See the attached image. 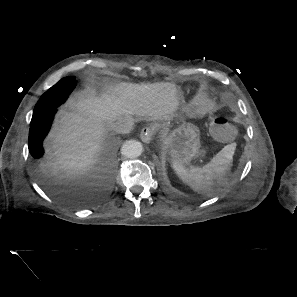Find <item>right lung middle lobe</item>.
<instances>
[{
	"label": "right lung middle lobe",
	"instance_id": "1",
	"mask_svg": "<svg viewBox=\"0 0 297 297\" xmlns=\"http://www.w3.org/2000/svg\"><path fill=\"white\" fill-rule=\"evenodd\" d=\"M77 81L74 77H65L47 90L35 106L33 119H37L49 112L56 104L66 99L75 88Z\"/></svg>",
	"mask_w": 297,
	"mask_h": 297
}]
</instances>
